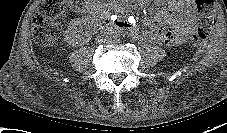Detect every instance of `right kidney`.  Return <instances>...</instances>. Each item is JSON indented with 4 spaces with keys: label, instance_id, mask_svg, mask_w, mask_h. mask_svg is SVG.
Segmentation results:
<instances>
[{
    "label": "right kidney",
    "instance_id": "1",
    "mask_svg": "<svg viewBox=\"0 0 227 133\" xmlns=\"http://www.w3.org/2000/svg\"><path fill=\"white\" fill-rule=\"evenodd\" d=\"M81 31H82L81 22L79 20H72L68 26L66 34L69 39L71 38L76 39L80 36Z\"/></svg>",
    "mask_w": 227,
    "mask_h": 133
}]
</instances>
